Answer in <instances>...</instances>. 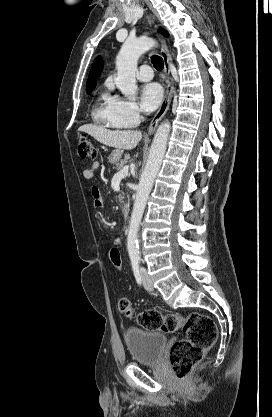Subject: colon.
<instances>
[{"instance_id": "colon-1", "label": "colon", "mask_w": 272, "mask_h": 417, "mask_svg": "<svg viewBox=\"0 0 272 417\" xmlns=\"http://www.w3.org/2000/svg\"><path fill=\"white\" fill-rule=\"evenodd\" d=\"M78 154L83 159L94 160L98 157V149L91 140L82 135L78 139ZM109 259L114 268L121 272L122 255L119 246L112 245ZM119 312L127 318L134 314L131 301L123 297L118 301ZM138 324L149 330H161L165 333L182 331L186 337L176 341L169 352L175 376L182 380L202 360L205 351L216 341L218 330L215 322L207 315L191 313L186 316L178 314H162L157 310H145L137 316Z\"/></svg>"}]
</instances>
